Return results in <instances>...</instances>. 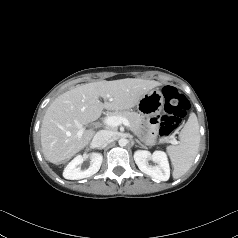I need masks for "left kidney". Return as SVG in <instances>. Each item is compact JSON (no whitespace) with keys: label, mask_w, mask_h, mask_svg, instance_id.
Listing matches in <instances>:
<instances>
[{"label":"left kidney","mask_w":238,"mask_h":238,"mask_svg":"<svg viewBox=\"0 0 238 238\" xmlns=\"http://www.w3.org/2000/svg\"><path fill=\"white\" fill-rule=\"evenodd\" d=\"M134 160L138 168L145 174L160 181H167L170 177V167L165 152L155 151L151 154L146 150H138L134 153ZM152 160L156 165H149Z\"/></svg>","instance_id":"1"}]
</instances>
